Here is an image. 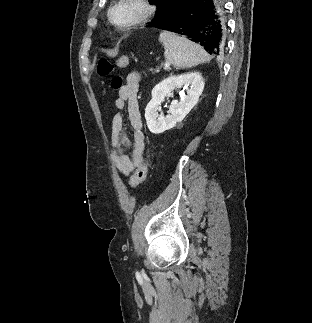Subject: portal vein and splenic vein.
Here are the masks:
<instances>
[{"label": "portal vein and splenic vein", "mask_w": 312, "mask_h": 323, "mask_svg": "<svg viewBox=\"0 0 312 323\" xmlns=\"http://www.w3.org/2000/svg\"><path fill=\"white\" fill-rule=\"evenodd\" d=\"M164 68H169V64H164Z\"/></svg>", "instance_id": "portal-vein-and-splenic-vein-1"}]
</instances>
